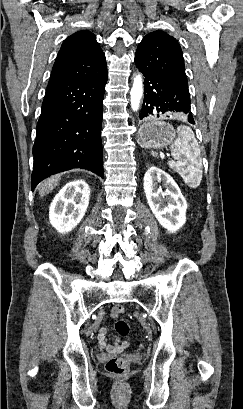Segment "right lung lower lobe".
<instances>
[{
  "label": "right lung lower lobe",
  "instance_id": "98d812e1",
  "mask_svg": "<svg viewBox=\"0 0 243 409\" xmlns=\"http://www.w3.org/2000/svg\"><path fill=\"white\" fill-rule=\"evenodd\" d=\"M107 67L84 79L50 80L37 123L31 188L72 168L103 178L101 126Z\"/></svg>",
  "mask_w": 243,
  "mask_h": 409
}]
</instances>
